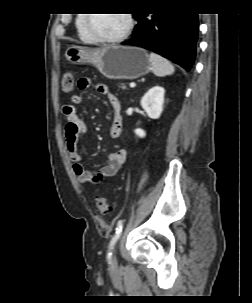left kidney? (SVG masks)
<instances>
[{"label":"left kidney","mask_w":252,"mask_h":303,"mask_svg":"<svg viewBox=\"0 0 252 303\" xmlns=\"http://www.w3.org/2000/svg\"><path fill=\"white\" fill-rule=\"evenodd\" d=\"M165 89L156 85L149 89L141 99V107L146 111L151 119H158L163 110ZM138 137H145L144 130L138 128L135 130Z\"/></svg>","instance_id":"1"}]
</instances>
